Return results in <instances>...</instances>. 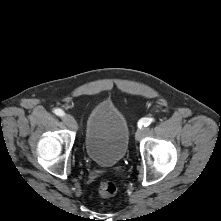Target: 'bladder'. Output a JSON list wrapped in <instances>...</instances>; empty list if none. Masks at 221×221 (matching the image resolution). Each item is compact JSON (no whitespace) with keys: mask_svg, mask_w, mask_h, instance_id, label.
Wrapping results in <instances>:
<instances>
[{"mask_svg":"<svg viewBox=\"0 0 221 221\" xmlns=\"http://www.w3.org/2000/svg\"><path fill=\"white\" fill-rule=\"evenodd\" d=\"M129 135L127 119L117 105L111 100L100 101L86 119L85 153L98 166H114L127 152Z\"/></svg>","mask_w":221,"mask_h":221,"instance_id":"bladder-1","label":"bladder"}]
</instances>
